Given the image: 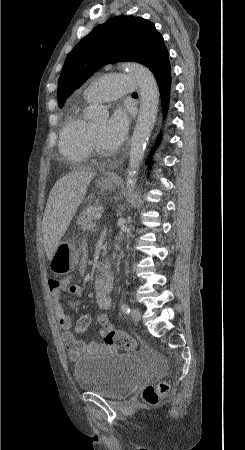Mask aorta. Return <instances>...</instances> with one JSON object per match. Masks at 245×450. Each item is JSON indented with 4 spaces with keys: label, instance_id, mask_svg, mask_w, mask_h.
Returning <instances> with one entry per match:
<instances>
[{
    "label": "aorta",
    "instance_id": "aorta-1",
    "mask_svg": "<svg viewBox=\"0 0 245 450\" xmlns=\"http://www.w3.org/2000/svg\"><path fill=\"white\" fill-rule=\"evenodd\" d=\"M121 66L136 79L141 95L139 116L131 139L126 179V187L128 192H131L135 187L145 148L156 121L159 90L155 77L145 66L133 62L123 63ZM91 115L95 119H104L108 116V111L103 106H96L92 108Z\"/></svg>",
    "mask_w": 245,
    "mask_h": 450
}]
</instances>
